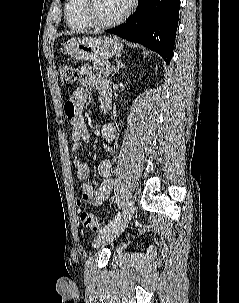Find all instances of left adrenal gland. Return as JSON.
Here are the masks:
<instances>
[{
	"instance_id": "obj_1",
	"label": "left adrenal gland",
	"mask_w": 239,
	"mask_h": 303,
	"mask_svg": "<svg viewBox=\"0 0 239 303\" xmlns=\"http://www.w3.org/2000/svg\"><path fill=\"white\" fill-rule=\"evenodd\" d=\"M121 68H125V65H123L121 63V61L119 60V61H117V66L114 69V73L112 74V76H114L116 73H118Z\"/></svg>"
}]
</instances>
